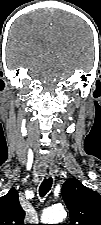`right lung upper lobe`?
Listing matches in <instances>:
<instances>
[{
  "instance_id": "1",
  "label": "right lung upper lobe",
  "mask_w": 101,
  "mask_h": 225,
  "mask_svg": "<svg viewBox=\"0 0 101 225\" xmlns=\"http://www.w3.org/2000/svg\"><path fill=\"white\" fill-rule=\"evenodd\" d=\"M25 211L18 201V192L13 187L0 198V225H25Z\"/></svg>"
}]
</instances>
